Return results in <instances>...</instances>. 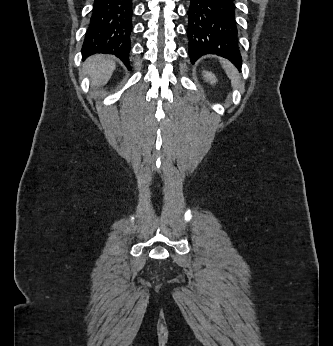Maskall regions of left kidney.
Masks as SVG:
<instances>
[{"label":"left kidney","mask_w":333,"mask_h":346,"mask_svg":"<svg viewBox=\"0 0 333 346\" xmlns=\"http://www.w3.org/2000/svg\"><path fill=\"white\" fill-rule=\"evenodd\" d=\"M203 74H204L203 76L205 80L209 81L211 84L216 83L217 81L216 76L212 72L203 71Z\"/></svg>","instance_id":"1"}]
</instances>
